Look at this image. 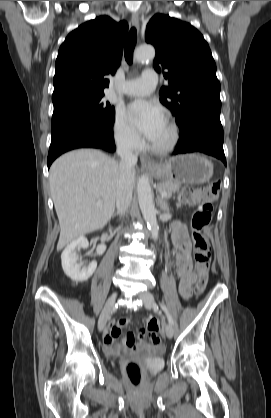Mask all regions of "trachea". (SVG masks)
<instances>
[{"instance_id": "3493384b", "label": "trachea", "mask_w": 271, "mask_h": 418, "mask_svg": "<svg viewBox=\"0 0 271 418\" xmlns=\"http://www.w3.org/2000/svg\"><path fill=\"white\" fill-rule=\"evenodd\" d=\"M137 31L134 27L131 28L125 43L124 55L128 64L133 62V51L136 45Z\"/></svg>"}]
</instances>
